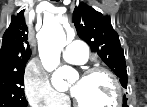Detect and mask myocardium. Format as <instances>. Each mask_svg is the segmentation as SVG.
<instances>
[{
    "label": "myocardium",
    "instance_id": "1",
    "mask_svg": "<svg viewBox=\"0 0 147 107\" xmlns=\"http://www.w3.org/2000/svg\"><path fill=\"white\" fill-rule=\"evenodd\" d=\"M97 74H102V75L107 76L114 86L115 99H114V102L112 103V105L109 107L119 106L122 102V87H121V84H120L118 78L116 77V75L104 67H91L84 72L83 77H92ZM73 104L76 107H89V106H86V105L82 104L81 102H79V100H77L75 97L73 100Z\"/></svg>",
    "mask_w": 147,
    "mask_h": 107
}]
</instances>
